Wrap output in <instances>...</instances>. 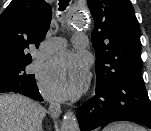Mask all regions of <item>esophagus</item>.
I'll return each instance as SVG.
<instances>
[{
    "label": "esophagus",
    "mask_w": 151,
    "mask_h": 131,
    "mask_svg": "<svg viewBox=\"0 0 151 131\" xmlns=\"http://www.w3.org/2000/svg\"><path fill=\"white\" fill-rule=\"evenodd\" d=\"M49 111L53 117H59L61 114V105L58 102H50Z\"/></svg>",
    "instance_id": "obj_1"
}]
</instances>
